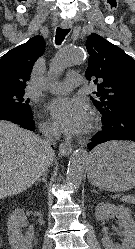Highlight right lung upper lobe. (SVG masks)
<instances>
[{
  "instance_id": "obj_1",
  "label": "right lung upper lobe",
  "mask_w": 135,
  "mask_h": 249,
  "mask_svg": "<svg viewBox=\"0 0 135 249\" xmlns=\"http://www.w3.org/2000/svg\"><path fill=\"white\" fill-rule=\"evenodd\" d=\"M44 50L43 37L35 36L7 52L0 59V91H24L33 64Z\"/></svg>"
}]
</instances>
